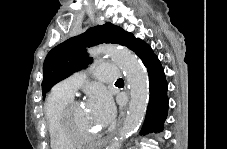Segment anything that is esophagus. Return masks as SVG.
Returning a JSON list of instances; mask_svg holds the SVG:
<instances>
[{"instance_id":"34e87169","label":"esophagus","mask_w":227,"mask_h":149,"mask_svg":"<svg viewBox=\"0 0 227 149\" xmlns=\"http://www.w3.org/2000/svg\"><path fill=\"white\" fill-rule=\"evenodd\" d=\"M124 117H125V111H122L120 113V115H119L116 128L112 132L111 136L118 132V130L120 129V127H121V125L123 123ZM111 141H112V138L111 137H106L105 140L102 141V144L103 145H108L109 142H111Z\"/></svg>"}]
</instances>
